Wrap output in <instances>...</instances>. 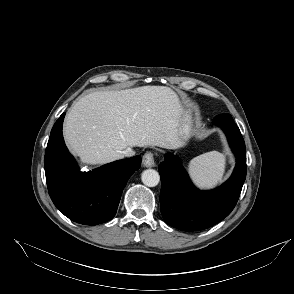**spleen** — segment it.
Returning a JSON list of instances; mask_svg holds the SVG:
<instances>
[{
    "label": "spleen",
    "mask_w": 294,
    "mask_h": 294,
    "mask_svg": "<svg viewBox=\"0 0 294 294\" xmlns=\"http://www.w3.org/2000/svg\"><path fill=\"white\" fill-rule=\"evenodd\" d=\"M188 170L199 187L211 188L223 178L225 157L217 151L204 153L190 161Z\"/></svg>",
    "instance_id": "obj_1"
}]
</instances>
